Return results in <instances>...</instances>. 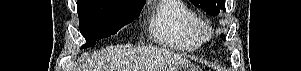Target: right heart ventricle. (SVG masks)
<instances>
[{
	"label": "right heart ventricle",
	"mask_w": 301,
	"mask_h": 71,
	"mask_svg": "<svg viewBox=\"0 0 301 71\" xmlns=\"http://www.w3.org/2000/svg\"><path fill=\"white\" fill-rule=\"evenodd\" d=\"M196 16L180 0L161 1L152 11L148 30L160 45L181 51H193L200 46L194 32Z\"/></svg>",
	"instance_id": "1"
}]
</instances>
